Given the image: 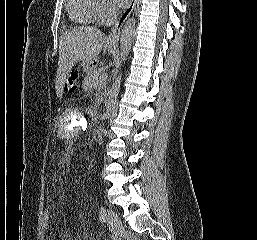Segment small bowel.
<instances>
[{
  "instance_id": "c3829d8e",
  "label": "small bowel",
  "mask_w": 257,
  "mask_h": 240,
  "mask_svg": "<svg viewBox=\"0 0 257 240\" xmlns=\"http://www.w3.org/2000/svg\"><path fill=\"white\" fill-rule=\"evenodd\" d=\"M63 240H78L77 238L73 237L69 231H65L63 234Z\"/></svg>"
}]
</instances>
